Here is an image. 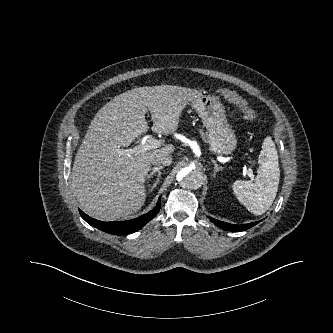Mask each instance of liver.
Returning a JSON list of instances; mask_svg holds the SVG:
<instances>
[{
	"mask_svg": "<svg viewBox=\"0 0 333 333\" xmlns=\"http://www.w3.org/2000/svg\"><path fill=\"white\" fill-rule=\"evenodd\" d=\"M201 92L173 85L138 87L106 103L95 115L78 150L71 187L90 216L112 221L136 213L146 200L145 178L156 155H169L173 145L149 152H124L145 134L149 110L156 133L173 134L182 110Z\"/></svg>",
	"mask_w": 333,
	"mask_h": 333,
	"instance_id": "obj_1",
	"label": "liver"
}]
</instances>
